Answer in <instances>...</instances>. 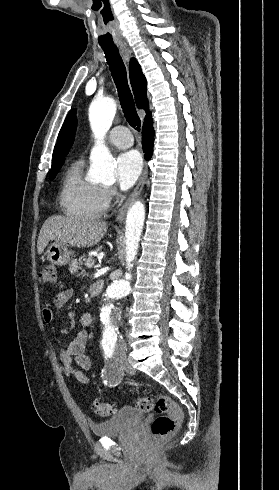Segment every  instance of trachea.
<instances>
[{"label": "trachea", "mask_w": 279, "mask_h": 490, "mask_svg": "<svg viewBox=\"0 0 279 490\" xmlns=\"http://www.w3.org/2000/svg\"><path fill=\"white\" fill-rule=\"evenodd\" d=\"M105 52V57L109 65L111 75L115 82L120 98V103L128 123L135 130H140L141 121L137 114L133 96L131 94L128 82L127 73L123 60L119 54L117 47H102Z\"/></svg>", "instance_id": "obj_1"}]
</instances>
